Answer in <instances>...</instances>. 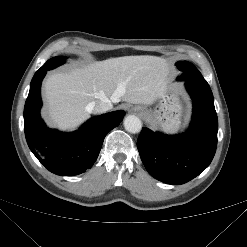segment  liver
Returning <instances> with one entry per match:
<instances>
[{"label":"liver","mask_w":247,"mask_h":247,"mask_svg":"<svg viewBox=\"0 0 247 247\" xmlns=\"http://www.w3.org/2000/svg\"><path fill=\"white\" fill-rule=\"evenodd\" d=\"M167 75L166 60L149 55L109 58L57 72L44 83L45 113L53 127L74 130L88 119L87 106L93 101L154 104L165 94Z\"/></svg>","instance_id":"6515ba94"}]
</instances>
